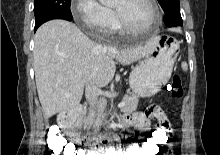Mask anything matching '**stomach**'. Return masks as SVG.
Masks as SVG:
<instances>
[{"label": "stomach", "instance_id": "0dacf381", "mask_svg": "<svg viewBox=\"0 0 220 155\" xmlns=\"http://www.w3.org/2000/svg\"><path fill=\"white\" fill-rule=\"evenodd\" d=\"M150 54L131 72L129 85L139 97L156 95L169 81L179 44L170 37H157Z\"/></svg>", "mask_w": 220, "mask_h": 155}]
</instances>
